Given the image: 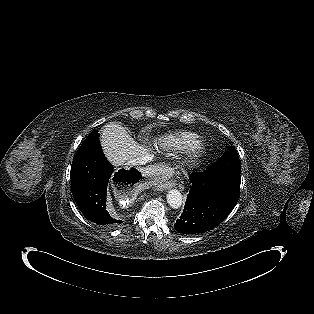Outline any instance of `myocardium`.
I'll list each match as a JSON object with an SVG mask.
<instances>
[{"label": "myocardium", "instance_id": "1", "mask_svg": "<svg viewBox=\"0 0 314 314\" xmlns=\"http://www.w3.org/2000/svg\"><path fill=\"white\" fill-rule=\"evenodd\" d=\"M204 150V143L201 139L192 140L186 147V158L193 162L198 159Z\"/></svg>", "mask_w": 314, "mask_h": 314}]
</instances>
